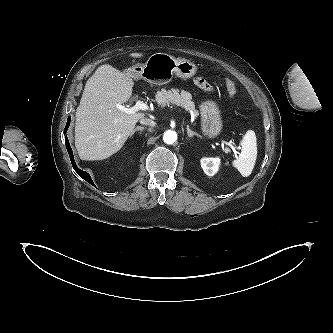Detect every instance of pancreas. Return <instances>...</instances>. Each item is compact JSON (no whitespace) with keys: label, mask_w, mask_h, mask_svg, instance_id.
I'll return each mask as SVG.
<instances>
[{"label":"pancreas","mask_w":333,"mask_h":333,"mask_svg":"<svg viewBox=\"0 0 333 333\" xmlns=\"http://www.w3.org/2000/svg\"><path fill=\"white\" fill-rule=\"evenodd\" d=\"M192 96L187 91H180L179 89H171L166 90L162 89L156 94V101L158 105L166 106V105H174L181 106L187 111H192L195 116L198 115V112L195 110L194 102L191 101Z\"/></svg>","instance_id":"cf45deb5"}]
</instances>
